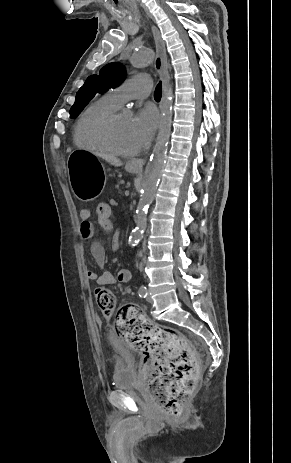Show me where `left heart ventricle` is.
I'll list each match as a JSON object with an SVG mask.
<instances>
[{
  "label": "left heart ventricle",
  "mask_w": 291,
  "mask_h": 463,
  "mask_svg": "<svg viewBox=\"0 0 291 463\" xmlns=\"http://www.w3.org/2000/svg\"><path fill=\"white\" fill-rule=\"evenodd\" d=\"M112 139L122 150L134 151L140 148L137 138L132 130V118L121 114L112 128Z\"/></svg>",
  "instance_id": "obj_1"
}]
</instances>
